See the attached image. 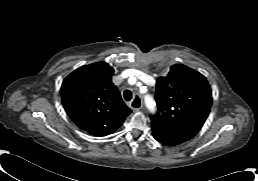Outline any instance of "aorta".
Instances as JSON below:
<instances>
[{
	"label": "aorta",
	"mask_w": 258,
	"mask_h": 181,
	"mask_svg": "<svg viewBox=\"0 0 258 181\" xmlns=\"http://www.w3.org/2000/svg\"><path fill=\"white\" fill-rule=\"evenodd\" d=\"M145 104H146L147 108H148L150 111H154V109H155V102H154V100H153L152 97L146 96V97H145Z\"/></svg>",
	"instance_id": "1"
}]
</instances>
